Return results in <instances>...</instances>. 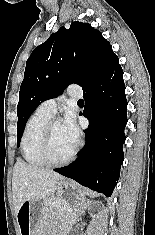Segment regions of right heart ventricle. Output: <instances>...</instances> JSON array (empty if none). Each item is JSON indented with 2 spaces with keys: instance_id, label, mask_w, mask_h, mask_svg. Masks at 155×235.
Returning a JSON list of instances; mask_svg holds the SVG:
<instances>
[{
  "instance_id": "right-heart-ventricle-1",
  "label": "right heart ventricle",
  "mask_w": 155,
  "mask_h": 235,
  "mask_svg": "<svg viewBox=\"0 0 155 235\" xmlns=\"http://www.w3.org/2000/svg\"><path fill=\"white\" fill-rule=\"evenodd\" d=\"M52 118L37 109L27 120L21 137V154L23 159L32 166H43L46 163L40 155V143L43 130Z\"/></svg>"
}]
</instances>
